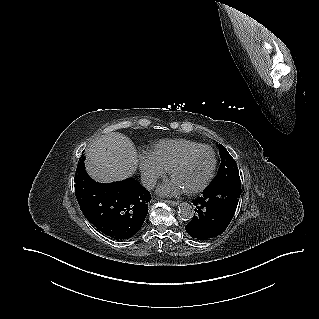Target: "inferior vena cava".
Returning a JSON list of instances; mask_svg holds the SVG:
<instances>
[{
  "instance_id": "inferior-vena-cava-1",
  "label": "inferior vena cava",
  "mask_w": 319,
  "mask_h": 319,
  "mask_svg": "<svg viewBox=\"0 0 319 319\" xmlns=\"http://www.w3.org/2000/svg\"><path fill=\"white\" fill-rule=\"evenodd\" d=\"M141 183L146 189H153L156 186L157 179L151 175L141 176Z\"/></svg>"
}]
</instances>
